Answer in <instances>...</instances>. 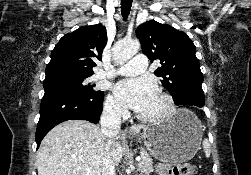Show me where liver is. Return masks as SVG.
I'll return each instance as SVG.
<instances>
[{
    "label": "liver",
    "instance_id": "6515ba94",
    "mask_svg": "<svg viewBox=\"0 0 251 175\" xmlns=\"http://www.w3.org/2000/svg\"><path fill=\"white\" fill-rule=\"evenodd\" d=\"M141 129L144 125H133L120 135H109L112 143L107 149V135L98 125L83 119L63 121L41 141L36 155L38 175H102L105 157L111 159L112 165H119L123 157L119 139H125L126 133L131 131L139 133Z\"/></svg>",
    "mask_w": 251,
    "mask_h": 175
}]
</instances>
